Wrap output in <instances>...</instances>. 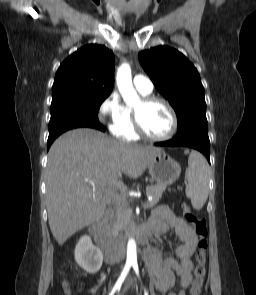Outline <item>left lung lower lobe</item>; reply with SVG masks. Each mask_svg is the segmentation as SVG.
<instances>
[{
  "mask_svg": "<svg viewBox=\"0 0 256 295\" xmlns=\"http://www.w3.org/2000/svg\"><path fill=\"white\" fill-rule=\"evenodd\" d=\"M156 146L169 147H190L203 153L210 162V141L208 134L191 133L180 137H175L172 140L155 143Z\"/></svg>",
  "mask_w": 256,
  "mask_h": 295,
  "instance_id": "left-lung-lower-lobe-1",
  "label": "left lung lower lobe"
}]
</instances>
